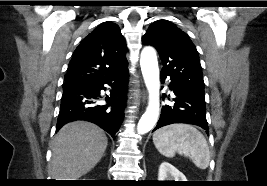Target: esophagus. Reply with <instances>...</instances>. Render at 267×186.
Returning a JSON list of instances; mask_svg holds the SVG:
<instances>
[{
  "instance_id": "esophagus-1",
  "label": "esophagus",
  "mask_w": 267,
  "mask_h": 186,
  "mask_svg": "<svg viewBox=\"0 0 267 186\" xmlns=\"http://www.w3.org/2000/svg\"><path fill=\"white\" fill-rule=\"evenodd\" d=\"M142 98H143V100L146 99L145 93L142 94Z\"/></svg>"
}]
</instances>
